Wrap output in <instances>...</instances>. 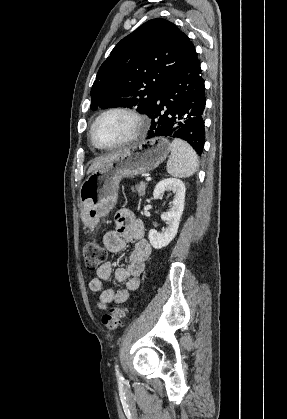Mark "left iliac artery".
Listing matches in <instances>:
<instances>
[{"mask_svg": "<svg viewBox=\"0 0 287 419\" xmlns=\"http://www.w3.org/2000/svg\"><path fill=\"white\" fill-rule=\"evenodd\" d=\"M115 371H116V376H117V379H118L119 381H123V380H124V378H123V376L121 375V373H120V371H119L118 365H116V366H115Z\"/></svg>", "mask_w": 287, "mask_h": 419, "instance_id": "obj_1", "label": "left iliac artery"}]
</instances>
